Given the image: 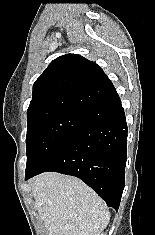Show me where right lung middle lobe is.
<instances>
[{"mask_svg":"<svg viewBox=\"0 0 155 235\" xmlns=\"http://www.w3.org/2000/svg\"><path fill=\"white\" fill-rule=\"evenodd\" d=\"M26 173L39 169L88 121L59 109L27 114Z\"/></svg>","mask_w":155,"mask_h":235,"instance_id":"obj_1","label":"right lung middle lobe"}]
</instances>
